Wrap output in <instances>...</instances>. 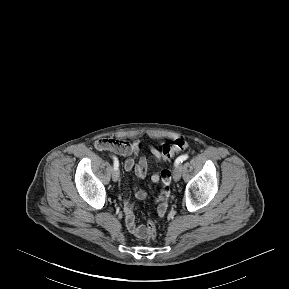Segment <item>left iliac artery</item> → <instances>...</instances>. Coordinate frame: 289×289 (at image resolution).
<instances>
[{
    "instance_id": "obj_1",
    "label": "left iliac artery",
    "mask_w": 289,
    "mask_h": 289,
    "mask_svg": "<svg viewBox=\"0 0 289 289\" xmlns=\"http://www.w3.org/2000/svg\"><path fill=\"white\" fill-rule=\"evenodd\" d=\"M189 158L188 155H181L175 160V166L177 167L180 163L187 160Z\"/></svg>"
}]
</instances>
